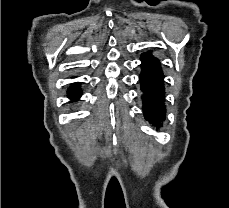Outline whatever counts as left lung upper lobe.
<instances>
[{
    "label": "left lung upper lobe",
    "mask_w": 229,
    "mask_h": 208,
    "mask_svg": "<svg viewBox=\"0 0 229 208\" xmlns=\"http://www.w3.org/2000/svg\"><path fill=\"white\" fill-rule=\"evenodd\" d=\"M141 60H145V61L149 62L152 65L153 71L156 74L164 77L162 70H161V64H160L159 60L157 58H155L152 54L143 53L141 56Z\"/></svg>",
    "instance_id": "obj_1"
}]
</instances>
